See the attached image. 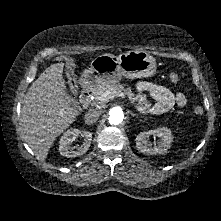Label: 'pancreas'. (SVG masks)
Returning a JSON list of instances; mask_svg holds the SVG:
<instances>
[{"mask_svg": "<svg viewBox=\"0 0 221 221\" xmlns=\"http://www.w3.org/2000/svg\"><path fill=\"white\" fill-rule=\"evenodd\" d=\"M108 91L112 92L113 94L125 93L132 103L138 102L143 109H150V107H151V104L146 99V95H143V94L135 95L131 91V89L124 88V86L122 84H116V83L107 84L105 86L98 87L93 92L94 101L95 102H102L101 98H102L103 94Z\"/></svg>", "mask_w": 221, "mask_h": 221, "instance_id": "cf45deb5", "label": "pancreas"}]
</instances>
